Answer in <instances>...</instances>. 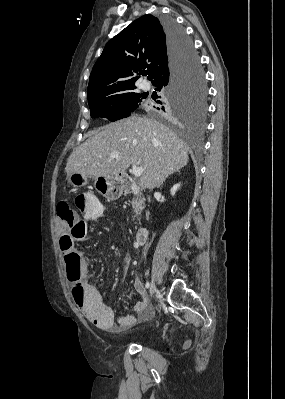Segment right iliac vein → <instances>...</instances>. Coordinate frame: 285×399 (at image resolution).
<instances>
[{"mask_svg":"<svg viewBox=\"0 0 285 399\" xmlns=\"http://www.w3.org/2000/svg\"><path fill=\"white\" fill-rule=\"evenodd\" d=\"M156 290H157L156 284H155L154 280H152L151 286H150V291H149L150 296H152Z\"/></svg>","mask_w":285,"mask_h":399,"instance_id":"obj_1","label":"right iliac vein"}]
</instances>
